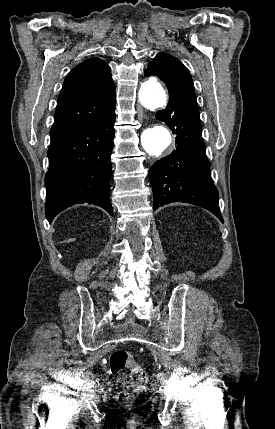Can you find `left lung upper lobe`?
Returning a JSON list of instances; mask_svg holds the SVG:
<instances>
[{
    "mask_svg": "<svg viewBox=\"0 0 275 429\" xmlns=\"http://www.w3.org/2000/svg\"><path fill=\"white\" fill-rule=\"evenodd\" d=\"M155 75L167 86L169 95L175 92H188L195 97L193 81L186 67L177 58L158 53L149 63L145 76Z\"/></svg>",
    "mask_w": 275,
    "mask_h": 429,
    "instance_id": "5c2ea615",
    "label": "left lung upper lobe"
}]
</instances>
